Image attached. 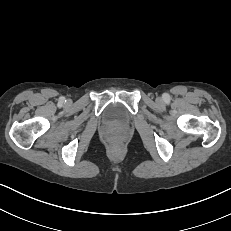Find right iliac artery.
Listing matches in <instances>:
<instances>
[{"label": "right iliac artery", "instance_id": "obj_1", "mask_svg": "<svg viewBox=\"0 0 231 231\" xmlns=\"http://www.w3.org/2000/svg\"><path fill=\"white\" fill-rule=\"evenodd\" d=\"M65 101V98L64 97H61L60 98V102L63 103Z\"/></svg>", "mask_w": 231, "mask_h": 231}]
</instances>
